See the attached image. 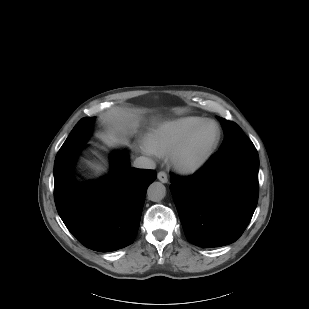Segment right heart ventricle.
<instances>
[{
	"mask_svg": "<svg viewBox=\"0 0 309 309\" xmlns=\"http://www.w3.org/2000/svg\"><path fill=\"white\" fill-rule=\"evenodd\" d=\"M202 121L199 117H184L159 124L147 135V147L158 156H169L177 144Z\"/></svg>",
	"mask_w": 309,
	"mask_h": 309,
	"instance_id": "obj_1",
	"label": "right heart ventricle"
}]
</instances>
